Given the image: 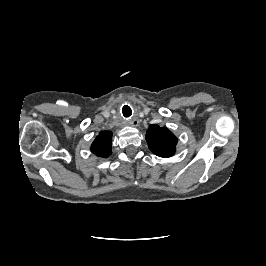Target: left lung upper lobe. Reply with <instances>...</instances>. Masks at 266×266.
Segmentation results:
<instances>
[{"instance_id": "obj_1", "label": "left lung upper lobe", "mask_w": 266, "mask_h": 266, "mask_svg": "<svg viewBox=\"0 0 266 266\" xmlns=\"http://www.w3.org/2000/svg\"><path fill=\"white\" fill-rule=\"evenodd\" d=\"M149 149L157 156L171 157L178 139L167 128L150 125L145 136Z\"/></svg>"}]
</instances>
